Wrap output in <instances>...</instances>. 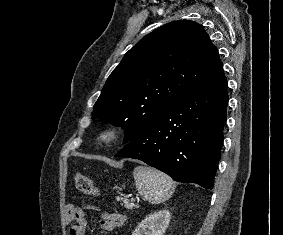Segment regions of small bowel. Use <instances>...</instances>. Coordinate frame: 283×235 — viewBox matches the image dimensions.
Listing matches in <instances>:
<instances>
[{"label": "small bowel", "mask_w": 283, "mask_h": 235, "mask_svg": "<svg viewBox=\"0 0 283 235\" xmlns=\"http://www.w3.org/2000/svg\"><path fill=\"white\" fill-rule=\"evenodd\" d=\"M67 223L71 224L69 235H84V216L74 206L65 208ZM126 222V216L121 213H105L101 216L100 226L104 231L110 232L121 227Z\"/></svg>", "instance_id": "small-bowel-1"}]
</instances>
